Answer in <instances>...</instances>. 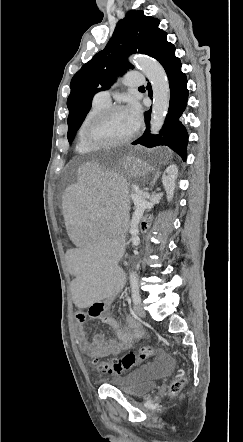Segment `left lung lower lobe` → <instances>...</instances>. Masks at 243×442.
Here are the masks:
<instances>
[{"label": "left lung lower lobe", "mask_w": 243, "mask_h": 442, "mask_svg": "<svg viewBox=\"0 0 243 442\" xmlns=\"http://www.w3.org/2000/svg\"><path fill=\"white\" fill-rule=\"evenodd\" d=\"M153 58L161 63L167 73L171 93L169 110L164 125L157 135L150 133L151 109L147 111L145 113L146 130L132 144H141L149 148L159 145L169 146L185 161L187 157L188 134L185 126L182 124V115L188 98L186 75L181 71V62L175 56L174 45L168 42L167 38L160 43ZM146 88L148 89L149 96L152 97L150 83H148Z\"/></svg>", "instance_id": "obj_1"}]
</instances>
